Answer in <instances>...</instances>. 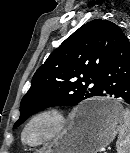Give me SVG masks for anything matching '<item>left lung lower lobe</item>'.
<instances>
[{"label":"left lung lower lobe","mask_w":130,"mask_h":153,"mask_svg":"<svg viewBox=\"0 0 130 153\" xmlns=\"http://www.w3.org/2000/svg\"><path fill=\"white\" fill-rule=\"evenodd\" d=\"M98 96L111 95L130 104V42L122 34L112 49L99 77ZM95 115L93 109L79 112L78 118L85 120Z\"/></svg>","instance_id":"left-lung-lower-lobe-1"}]
</instances>
